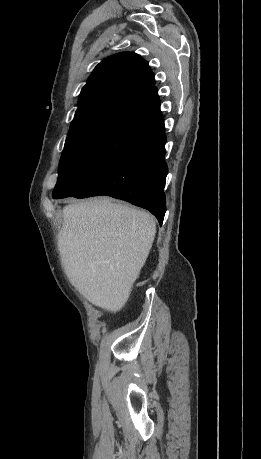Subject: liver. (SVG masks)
Here are the masks:
<instances>
[{
    "label": "liver",
    "instance_id": "obj_1",
    "mask_svg": "<svg viewBox=\"0 0 261 459\" xmlns=\"http://www.w3.org/2000/svg\"><path fill=\"white\" fill-rule=\"evenodd\" d=\"M62 216L58 249L67 276L89 302L118 311L150 253L154 218L108 198L67 205Z\"/></svg>",
    "mask_w": 261,
    "mask_h": 459
}]
</instances>
